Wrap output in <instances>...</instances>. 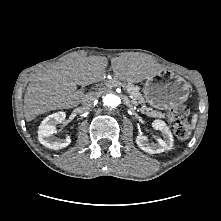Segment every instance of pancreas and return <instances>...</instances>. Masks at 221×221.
Returning <instances> with one entry per match:
<instances>
[{"instance_id":"pancreas-1","label":"pancreas","mask_w":221,"mask_h":221,"mask_svg":"<svg viewBox=\"0 0 221 221\" xmlns=\"http://www.w3.org/2000/svg\"><path fill=\"white\" fill-rule=\"evenodd\" d=\"M113 83H116V81L112 80V81H110V83L108 85H111ZM122 86L128 93H131L133 95L132 104H134V105L141 104L142 105V108H141L142 113H146L148 116H151V117H157V118L164 117V114H162L161 112L155 111L152 108H148L144 104L145 100H144V97L142 96V94L139 92L140 88L138 86H134L132 83L123 84Z\"/></svg>"}]
</instances>
